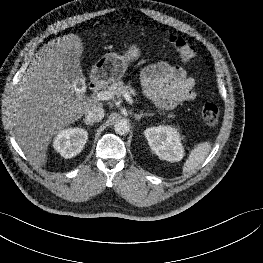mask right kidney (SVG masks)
Here are the masks:
<instances>
[{"mask_svg": "<svg viewBox=\"0 0 263 263\" xmlns=\"http://www.w3.org/2000/svg\"><path fill=\"white\" fill-rule=\"evenodd\" d=\"M88 133L83 128H69L60 131L54 139L53 147L64 158L78 155L84 148Z\"/></svg>", "mask_w": 263, "mask_h": 263, "instance_id": "right-kidney-1", "label": "right kidney"}]
</instances>
